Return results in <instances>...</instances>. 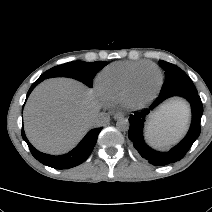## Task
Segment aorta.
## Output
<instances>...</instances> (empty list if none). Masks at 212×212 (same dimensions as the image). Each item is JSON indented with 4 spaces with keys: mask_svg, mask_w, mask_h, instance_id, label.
<instances>
[{
    "mask_svg": "<svg viewBox=\"0 0 212 212\" xmlns=\"http://www.w3.org/2000/svg\"><path fill=\"white\" fill-rule=\"evenodd\" d=\"M129 126H130V123L128 119L126 118H120L116 123V127L123 132L128 131Z\"/></svg>",
    "mask_w": 212,
    "mask_h": 212,
    "instance_id": "1",
    "label": "aorta"
}]
</instances>
